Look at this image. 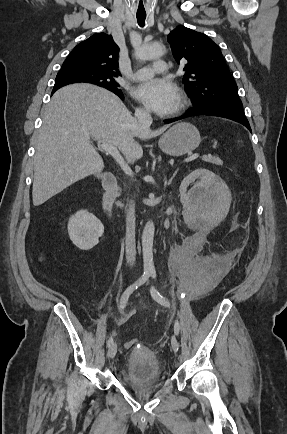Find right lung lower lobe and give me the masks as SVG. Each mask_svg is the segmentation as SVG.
<instances>
[{
	"label": "right lung lower lobe",
	"instance_id": "98d812e1",
	"mask_svg": "<svg viewBox=\"0 0 287 434\" xmlns=\"http://www.w3.org/2000/svg\"><path fill=\"white\" fill-rule=\"evenodd\" d=\"M52 94H53V93H52ZM116 95H118V96L120 97V99L124 100V96H123V94H116Z\"/></svg>",
	"mask_w": 287,
	"mask_h": 434
}]
</instances>
